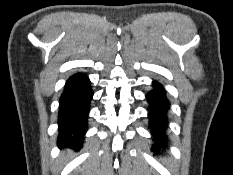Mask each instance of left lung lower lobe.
I'll list each match as a JSON object with an SVG mask.
<instances>
[{
	"mask_svg": "<svg viewBox=\"0 0 233 175\" xmlns=\"http://www.w3.org/2000/svg\"><path fill=\"white\" fill-rule=\"evenodd\" d=\"M152 87L153 89L146 94V100L149 103V128L151 129V134L157 145L153 146L152 150L156 151L158 145L162 146L167 142L165 127L168 120L167 113L169 109V102L166 98L162 84L158 81H153Z\"/></svg>",
	"mask_w": 233,
	"mask_h": 175,
	"instance_id": "obj_1",
	"label": "left lung lower lobe"
}]
</instances>
